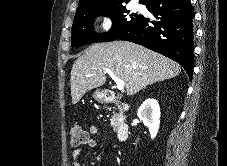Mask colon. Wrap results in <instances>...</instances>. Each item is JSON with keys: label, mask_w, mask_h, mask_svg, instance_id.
<instances>
[{"label": "colon", "mask_w": 227, "mask_h": 166, "mask_svg": "<svg viewBox=\"0 0 227 166\" xmlns=\"http://www.w3.org/2000/svg\"><path fill=\"white\" fill-rule=\"evenodd\" d=\"M67 134L69 143L73 147L87 144L90 140L88 133L77 125L69 126Z\"/></svg>", "instance_id": "colon-1"}]
</instances>
